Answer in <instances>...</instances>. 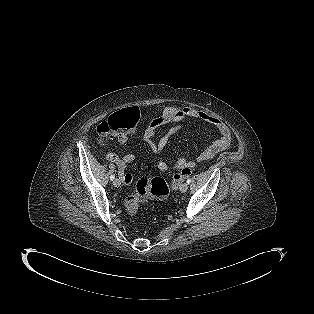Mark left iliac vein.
I'll use <instances>...</instances> for the list:
<instances>
[{
	"mask_svg": "<svg viewBox=\"0 0 314 314\" xmlns=\"http://www.w3.org/2000/svg\"><path fill=\"white\" fill-rule=\"evenodd\" d=\"M188 189V184L187 183H183L181 186H180V192L184 193L186 192Z\"/></svg>",
	"mask_w": 314,
	"mask_h": 314,
	"instance_id": "4c4485c4",
	"label": "left iliac vein"
}]
</instances>
